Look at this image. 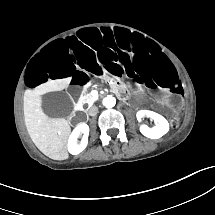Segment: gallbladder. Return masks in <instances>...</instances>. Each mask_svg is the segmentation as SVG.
Masks as SVG:
<instances>
[{"mask_svg": "<svg viewBox=\"0 0 215 215\" xmlns=\"http://www.w3.org/2000/svg\"><path fill=\"white\" fill-rule=\"evenodd\" d=\"M73 108L62 91L47 92L42 96V109L49 116L67 117Z\"/></svg>", "mask_w": 215, "mask_h": 215, "instance_id": "bac80fb5", "label": "gallbladder"}]
</instances>
